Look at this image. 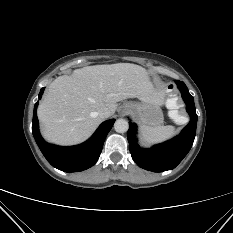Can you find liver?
I'll return each mask as SVG.
<instances>
[{
	"mask_svg": "<svg viewBox=\"0 0 233 233\" xmlns=\"http://www.w3.org/2000/svg\"><path fill=\"white\" fill-rule=\"evenodd\" d=\"M142 98L163 104L146 70L131 63L87 66L71 76L56 78L38 107L43 137L51 143L74 145L88 139L102 122L98 116L107 108L111 115L117 102Z\"/></svg>",
	"mask_w": 233,
	"mask_h": 233,
	"instance_id": "1",
	"label": "liver"
}]
</instances>
